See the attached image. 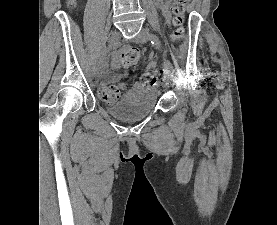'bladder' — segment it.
<instances>
[{"mask_svg":"<svg viewBox=\"0 0 277 225\" xmlns=\"http://www.w3.org/2000/svg\"><path fill=\"white\" fill-rule=\"evenodd\" d=\"M158 96L159 93L155 90L132 89L119 99L108 102L106 109L121 120H142L154 111Z\"/></svg>","mask_w":277,"mask_h":225,"instance_id":"1","label":"bladder"}]
</instances>
